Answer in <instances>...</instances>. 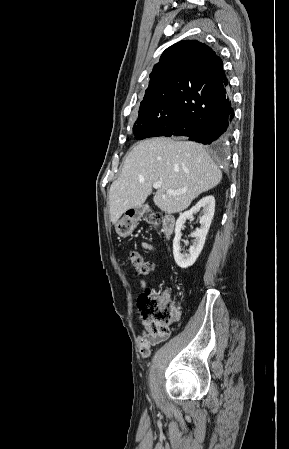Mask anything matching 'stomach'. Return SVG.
<instances>
[{"label":"stomach","mask_w":289,"mask_h":449,"mask_svg":"<svg viewBox=\"0 0 289 449\" xmlns=\"http://www.w3.org/2000/svg\"><path fill=\"white\" fill-rule=\"evenodd\" d=\"M136 222H137V216H133V217L124 216L115 224V229H116L117 234L120 237H124V238L129 236L135 229Z\"/></svg>","instance_id":"obj_1"}]
</instances>
